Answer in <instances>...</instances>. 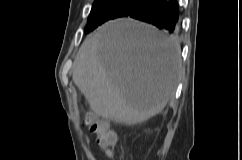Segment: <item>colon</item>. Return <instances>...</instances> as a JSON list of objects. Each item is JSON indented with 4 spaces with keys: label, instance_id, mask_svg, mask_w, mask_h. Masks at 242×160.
I'll return each mask as SVG.
<instances>
[{
    "label": "colon",
    "instance_id": "obj_1",
    "mask_svg": "<svg viewBox=\"0 0 242 160\" xmlns=\"http://www.w3.org/2000/svg\"><path fill=\"white\" fill-rule=\"evenodd\" d=\"M85 124L96 135L97 144L110 154V148L115 141V134L108 129L107 122L92 113H88L85 117Z\"/></svg>",
    "mask_w": 242,
    "mask_h": 160
}]
</instances>
